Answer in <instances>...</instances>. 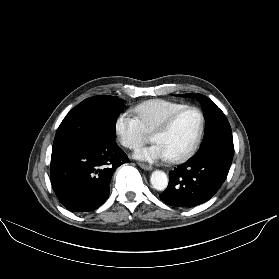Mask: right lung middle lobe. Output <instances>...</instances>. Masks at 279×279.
Listing matches in <instances>:
<instances>
[{
	"label": "right lung middle lobe",
	"mask_w": 279,
	"mask_h": 279,
	"mask_svg": "<svg viewBox=\"0 0 279 279\" xmlns=\"http://www.w3.org/2000/svg\"><path fill=\"white\" fill-rule=\"evenodd\" d=\"M121 111L119 98L98 95L85 99L61 122L52 151L78 149L115 139L116 121Z\"/></svg>",
	"instance_id": "obj_1"
}]
</instances>
